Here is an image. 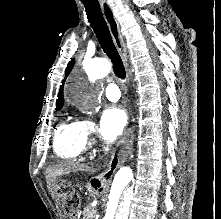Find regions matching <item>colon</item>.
I'll use <instances>...</instances> for the list:
<instances>
[{"label":"colon","mask_w":221,"mask_h":219,"mask_svg":"<svg viewBox=\"0 0 221 219\" xmlns=\"http://www.w3.org/2000/svg\"><path fill=\"white\" fill-rule=\"evenodd\" d=\"M61 192L67 202V208L71 210L78 203V194L70 187L63 185L61 186Z\"/></svg>","instance_id":"colon-1"}]
</instances>
